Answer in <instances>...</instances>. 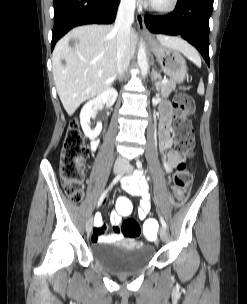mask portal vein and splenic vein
<instances>
[{
  "mask_svg": "<svg viewBox=\"0 0 247 304\" xmlns=\"http://www.w3.org/2000/svg\"><path fill=\"white\" fill-rule=\"evenodd\" d=\"M167 81L168 79L165 78L164 80H162L161 84H165Z\"/></svg>",
  "mask_w": 247,
  "mask_h": 304,
  "instance_id": "portal-vein-and-splenic-vein-1",
  "label": "portal vein and splenic vein"
}]
</instances>
